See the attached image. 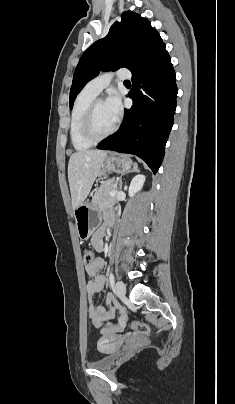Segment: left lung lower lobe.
Returning <instances> with one entry per match:
<instances>
[{
  "label": "left lung lower lobe",
  "instance_id": "obj_1",
  "mask_svg": "<svg viewBox=\"0 0 235 404\" xmlns=\"http://www.w3.org/2000/svg\"><path fill=\"white\" fill-rule=\"evenodd\" d=\"M132 82L128 94L132 107L125 110L119 130L98 149L134 154L155 174L173 126L177 97L175 71L165 45L132 72Z\"/></svg>",
  "mask_w": 235,
  "mask_h": 404
}]
</instances>
